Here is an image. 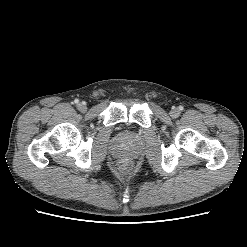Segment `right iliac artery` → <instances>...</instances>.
<instances>
[{
	"label": "right iliac artery",
	"instance_id": "82829eb1",
	"mask_svg": "<svg viewBox=\"0 0 247 247\" xmlns=\"http://www.w3.org/2000/svg\"><path fill=\"white\" fill-rule=\"evenodd\" d=\"M74 102H75V103H78V102H79V100H78V99H76Z\"/></svg>",
	"mask_w": 247,
	"mask_h": 247
}]
</instances>
